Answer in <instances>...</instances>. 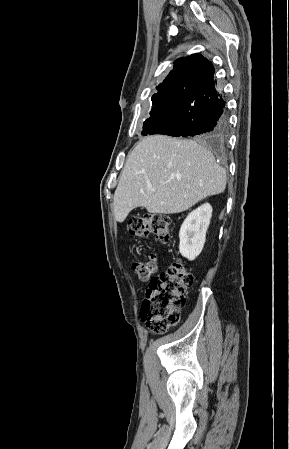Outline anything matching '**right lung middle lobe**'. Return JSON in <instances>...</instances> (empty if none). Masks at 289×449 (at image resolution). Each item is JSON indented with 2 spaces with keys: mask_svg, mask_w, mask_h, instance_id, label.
I'll return each mask as SVG.
<instances>
[{
  "mask_svg": "<svg viewBox=\"0 0 289 449\" xmlns=\"http://www.w3.org/2000/svg\"><path fill=\"white\" fill-rule=\"evenodd\" d=\"M150 117L145 120L142 135L154 134L160 125L174 119L175 113L168 93L152 96Z\"/></svg>",
  "mask_w": 289,
  "mask_h": 449,
  "instance_id": "obj_1",
  "label": "right lung middle lobe"
}]
</instances>
